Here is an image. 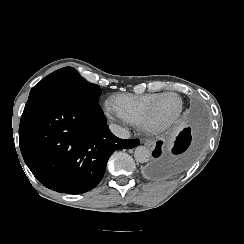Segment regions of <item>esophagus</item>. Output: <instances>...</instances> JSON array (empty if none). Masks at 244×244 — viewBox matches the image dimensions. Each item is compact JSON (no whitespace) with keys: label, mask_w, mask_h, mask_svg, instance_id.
I'll return each instance as SVG.
<instances>
[{"label":"esophagus","mask_w":244,"mask_h":244,"mask_svg":"<svg viewBox=\"0 0 244 244\" xmlns=\"http://www.w3.org/2000/svg\"><path fill=\"white\" fill-rule=\"evenodd\" d=\"M142 143L149 148L151 151H153L154 147H155V140L153 139H146L144 141H142Z\"/></svg>","instance_id":"34e87169"}]
</instances>
